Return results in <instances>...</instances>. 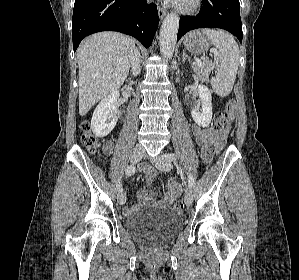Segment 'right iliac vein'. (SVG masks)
<instances>
[{
	"label": "right iliac vein",
	"instance_id": "right-iliac-vein-1",
	"mask_svg": "<svg viewBox=\"0 0 299 280\" xmlns=\"http://www.w3.org/2000/svg\"><path fill=\"white\" fill-rule=\"evenodd\" d=\"M144 155V150L141 147H136L131 155V162L133 164L138 163ZM118 203L120 205L125 204L126 195L123 192H120L117 196Z\"/></svg>",
	"mask_w": 299,
	"mask_h": 280
}]
</instances>
